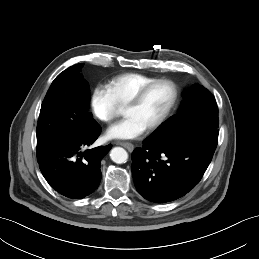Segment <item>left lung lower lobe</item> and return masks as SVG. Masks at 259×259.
Segmentation results:
<instances>
[{
    "label": "left lung lower lobe",
    "mask_w": 259,
    "mask_h": 259,
    "mask_svg": "<svg viewBox=\"0 0 259 259\" xmlns=\"http://www.w3.org/2000/svg\"><path fill=\"white\" fill-rule=\"evenodd\" d=\"M218 129L196 127L167 141H143L132 153L138 193L155 203L176 200L199 183L218 142Z\"/></svg>",
    "instance_id": "0a47b994"
}]
</instances>
